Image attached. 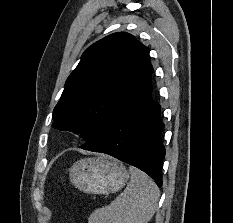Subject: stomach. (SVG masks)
<instances>
[{"instance_id": "obj_1", "label": "stomach", "mask_w": 233, "mask_h": 223, "mask_svg": "<svg viewBox=\"0 0 233 223\" xmlns=\"http://www.w3.org/2000/svg\"><path fill=\"white\" fill-rule=\"evenodd\" d=\"M70 179L85 193H115L126 185L129 173L123 163L109 157H88L73 163L69 169Z\"/></svg>"}]
</instances>
